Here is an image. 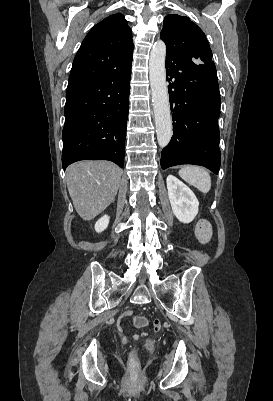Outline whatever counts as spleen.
Returning <instances> with one entry per match:
<instances>
[{"instance_id": "obj_1", "label": "spleen", "mask_w": 273, "mask_h": 401, "mask_svg": "<svg viewBox=\"0 0 273 401\" xmlns=\"http://www.w3.org/2000/svg\"><path fill=\"white\" fill-rule=\"evenodd\" d=\"M180 176L190 182L196 188H199L201 192H209L211 188V176L205 168H200V166H184L179 170Z\"/></svg>"}]
</instances>
